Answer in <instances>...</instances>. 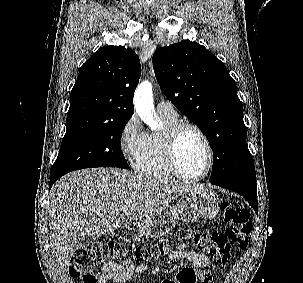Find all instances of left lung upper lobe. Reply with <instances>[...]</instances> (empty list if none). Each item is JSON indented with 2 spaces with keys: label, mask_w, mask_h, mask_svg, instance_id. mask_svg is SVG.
I'll use <instances>...</instances> for the list:
<instances>
[{
  "label": "left lung upper lobe",
  "mask_w": 303,
  "mask_h": 283,
  "mask_svg": "<svg viewBox=\"0 0 303 283\" xmlns=\"http://www.w3.org/2000/svg\"><path fill=\"white\" fill-rule=\"evenodd\" d=\"M152 61L162 92L210 143V182L255 178L242 102L224 64L204 46L189 40L159 48Z\"/></svg>",
  "instance_id": "1"
}]
</instances>
